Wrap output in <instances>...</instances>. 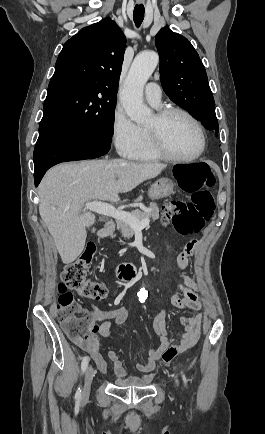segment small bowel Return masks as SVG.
<instances>
[{"instance_id": "1", "label": "small bowel", "mask_w": 265, "mask_h": 434, "mask_svg": "<svg viewBox=\"0 0 265 434\" xmlns=\"http://www.w3.org/2000/svg\"><path fill=\"white\" fill-rule=\"evenodd\" d=\"M196 246V239L189 241L177 256L175 266L177 283L169 298V305L171 307L192 311H200L202 309V300L199 295L200 286L192 277L185 273ZM143 290L145 289L142 288L140 292ZM84 311L101 319V323L90 330L84 345V350L87 349L95 359V362L101 365L104 362L99 352L101 341L111 336L114 325H122L127 321L128 312L124 307L109 310L84 309ZM166 316L167 309H162L154 318L153 329L158 340V345L150 346L147 349L145 359L137 364V369L143 373L134 374L132 378H127V373L118 352L114 349L108 352V357L113 363L114 373L117 377V387H144L147 385V382L150 381V372L155 369L156 362L165 351L167 340H178L181 344L180 352L191 349L198 342L204 320L202 312H198L195 315L181 316L179 322L184 332L177 336H172L167 330Z\"/></svg>"}]
</instances>
